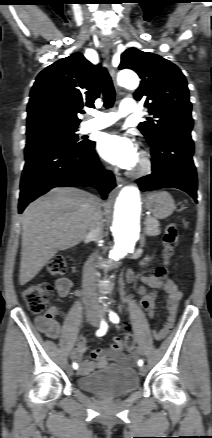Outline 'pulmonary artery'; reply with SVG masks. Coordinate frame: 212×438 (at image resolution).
Here are the masks:
<instances>
[{
  "label": "pulmonary artery",
  "instance_id": "obj_1",
  "mask_svg": "<svg viewBox=\"0 0 212 438\" xmlns=\"http://www.w3.org/2000/svg\"><path fill=\"white\" fill-rule=\"evenodd\" d=\"M138 111L137 103L134 100L125 99L122 101L117 112L103 111L98 112L95 118L86 122L83 126L85 133L93 132L106 128L115 123L120 117L135 114Z\"/></svg>",
  "mask_w": 212,
  "mask_h": 438
}]
</instances>
